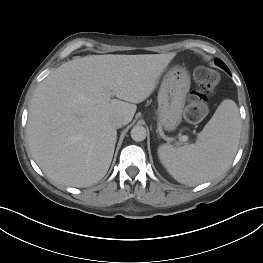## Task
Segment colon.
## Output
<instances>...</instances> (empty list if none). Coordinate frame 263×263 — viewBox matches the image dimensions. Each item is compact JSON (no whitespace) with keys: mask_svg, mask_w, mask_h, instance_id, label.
Wrapping results in <instances>:
<instances>
[{"mask_svg":"<svg viewBox=\"0 0 263 263\" xmlns=\"http://www.w3.org/2000/svg\"><path fill=\"white\" fill-rule=\"evenodd\" d=\"M197 89L192 92L187 100L185 118L190 123L202 121L208 113V97L214 92L220 82L217 71L198 67L194 73Z\"/></svg>","mask_w":263,"mask_h":263,"instance_id":"obj_1","label":"colon"}]
</instances>
